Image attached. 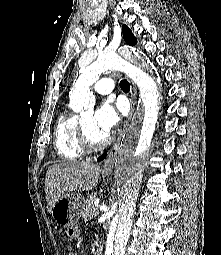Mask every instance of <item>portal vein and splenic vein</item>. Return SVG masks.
I'll return each instance as SVG.
<instances>
[{
	"label": "portal vein and splenic vein",
	"instance_id": "1",
	"mask_svg": "<svg viewBox=\"0 0 221 255\" xmlns=\"http://www.w3.org/2000/svg\"><path fill=\"white\" fill-rule=\"evenodd\" d=\"M93 215H98V208H94V210H93Z\"/></svg>",
	"mask_w": 221,
	"mask_h": 255
}]
</instances>
